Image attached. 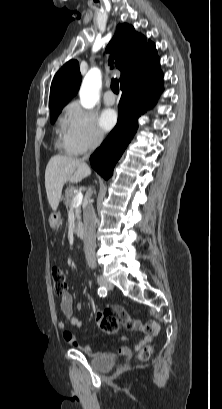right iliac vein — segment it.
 I'll return each mask as SVG.
<instances>
[{"instance_id": "63e3f726", "label": "right iliac vein", "mask_w": 222, "mask_h": 409, "mask_svg": "<svg viewBox=\"0 0 222 409\" xmlns=\"http://www.w3.org/2000/svg\"><path fill=\"white\" fill-rule=\"evenodd\" d=\"M97 282L99 283V285H101L102 287H105L107 289H111L113 287V284L111 282H109L105 277L103 276H99L97 278Z\"/></svg>"}]
</instances>
